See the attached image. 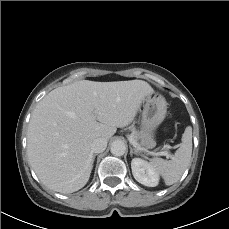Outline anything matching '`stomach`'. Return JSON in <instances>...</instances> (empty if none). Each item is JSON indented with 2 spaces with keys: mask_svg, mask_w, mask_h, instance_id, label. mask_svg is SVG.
Segmentation results:
<instances>
[{
  "mask_svg": "<svg viewBox=\"0 0 229 229\" xmlns=\"http://www.w3.org/2000/svg\"><path fill=\"white\" fill-rule=\"evenodd\" d=\"M167 112L166 100L156 92L146 96L143 104L140 139L146 149L156 146L154 139L157 127L163 122Z\"/></svg>",
  "mask_w": 229,
  "mask_h": 229,
  "instance_id": "obj_1",
  "label": "stomach"
}]
</instances>
